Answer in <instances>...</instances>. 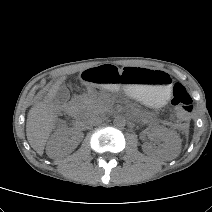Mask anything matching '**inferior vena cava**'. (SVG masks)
Masks as SVG:
<instances>
[{
  "instance_id": "obj_1",
  "label": "inferior vena cava",
  "mask_w": 212,
  "mask_h": 212,
  "mask_svg": "<svg viewBox=\"0 0 212 212\" xmlns=\"http://www.w3.org/2000/svg\"><path fill=\"white\" fill-rule=\"evenodd\" d=\"M103 117L102 116H99V115H95V114H90L85 122L87 125H97L99 123H101L103 121Z\"/></svg>"
}]
</instances>
